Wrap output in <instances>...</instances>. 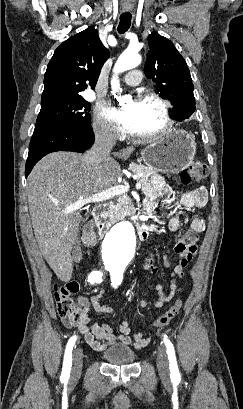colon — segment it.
<instances>
[{"label":"colon","mask_w":243,"mask_h":409,"mask_svg":"<svg viewBox=\"0 0 243 409\" xmlns=\"http://www.w3.org/2000/svg\"><path fill=\"white\" fill-rule=\"evenodd\" d=\"M208 176V168L201 161H194L187 170L181 173V181L188 183L191 179L203 180ZM96 243V237L89 226L83 234V244L91 248ZM55 301L57 312L62 321L68 326L78 325L82 321L83 311L73 296L79 291V284L76 281H69L61 286L55 287ZM182 303L177 300L169 309L154 322L156 327L168 325L180 312Z\"/></svg>","instance_id":"colon-1"}]
</instances>
